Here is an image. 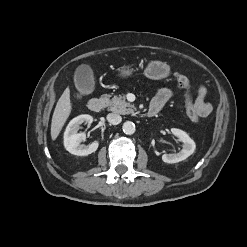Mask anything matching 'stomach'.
I'll return each instance as SVG.
<instances>
[{
	"instance_id": "0dacf381",
	"label": "stomach",
	"mask_w": 247,
	"mask_h": 247,
	"mask_svg": "<svg viewBox=\"0 0 247 247\" xmlns=\"http://www.w3.org/2000/svg\"><path fill=\"white\" fill-rule=\"evenodd\" d=\"M132 73L133 70L129 66H123L119 70V76L122 78L130 77ZM144 75L152 80H161L170 75V67L164 62L154 60L149 62L144 70Z\"/></svg>"
}]
</instances>
